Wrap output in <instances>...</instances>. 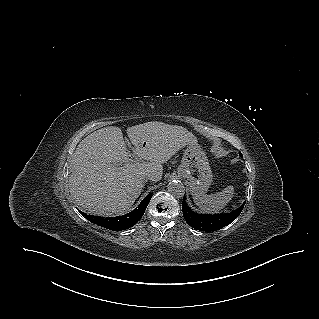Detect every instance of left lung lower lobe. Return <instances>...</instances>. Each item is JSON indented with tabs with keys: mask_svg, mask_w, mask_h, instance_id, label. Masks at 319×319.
I'll return each mask as SVG.
<instances>
[{
	"mask_svg": "<svg viewBox=\"0 0 319 319\" xmlns=\"http://www.w3.org/2000/svg\"><path fill=\"white\" fill-rule=\"evenodd\" d=\"M244 204L245 203H243V205H241L237 210L230 213L201 215L192 211L188 207L184 198L182 209L183 216L187 224L191 227L200 231H216L232 223L243 210Z\"/></svg>",
	"mask_w": 319,
	"mask_h": 319,
	"instance_id": "left-lung-lower-lobe-1",
	"label": "left lung lower lobe"
}]
</instances>
